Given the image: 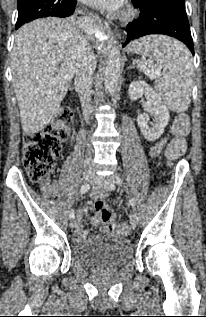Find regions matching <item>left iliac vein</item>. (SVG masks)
Returning <instances> with one entry per match:
<instances>
[{
    "instance_id": "1",
    "label": "left iliac vein",
    "mask_w": 206,
    "mask_h": 317,
    "mask_svg": "<svg viewBox=\"0 0 206 317\" xmlns=\"http://www.w3.org/2000/svg\"><path fill=\"white\" fill-rule=\"evenodd\" d=\"M94 183L106 191H112L115 189V183L110 177L95 176ZM130 223L133 227H136L138 224V216L134 211L130 214Z\"/></svg>"
}]
</instances>
